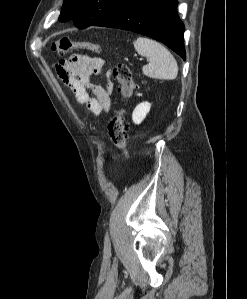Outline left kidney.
I'll return each instance as SVG.
<instances>
[{
  "label": "left kidney",
  "mask_w": 247,
  "mask_h": 299,
  "mask_svg": "<svg viewBox=\"0 0 247 299\" xmlns=\"http://www.w3.org/2000/svg\"><path fill=\"white\" fill-rule=\"evenodd\" d=\"M151 108V104L148 102H142L138 104L133 113H132V120L135 124H140L146 117V115L149 113Z\"/></svg>",
  "instance_id": "5707ae66"
}]
</instances>
